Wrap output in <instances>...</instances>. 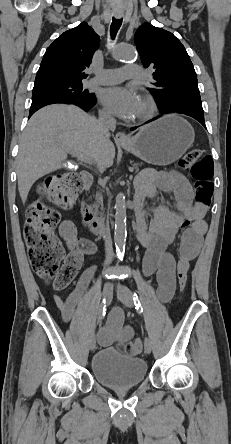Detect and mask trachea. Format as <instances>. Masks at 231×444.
Returning a JSON list of instances; mask_svg holds the SVG:
<instances>
[{
    "mask_svg": "<svg viewBox=\"0 0 231 444\" xmlns=\"http://www.w3.org/2000/svg\"><path fill=\"white\" fill-rule=\"evenodd\" d=\"M121 24H122V19H116L114 17L112 18V23L110 26V34L113 39L115 38L118 30L120 29Z\"/></svg>",
    "mask_w": 231,
    "mask_h": 444,
    "instance_id": "trachea-1",
    "label": "trachea"
}]
</instances>
